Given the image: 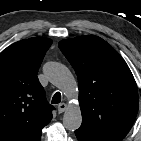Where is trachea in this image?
Masks as SVG:
<instances>
[{"mask_svg":"<svg viewBox=\"0 0 141 141\" xmlns=\"http://www.w3.org/2000/svg\"><path fill=\"white\" fill-rule=\"evenodd\" d=\"M60 101H61V94L59 92H56L54 94V96L52 97L51 103L52 104H57V103H60Z\"/></svg>","mask_w":141,"mask_h":141,"instance_id":"1","label":"trachea"}]
</instances>
